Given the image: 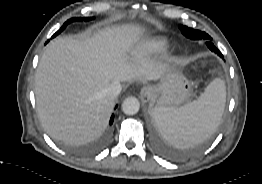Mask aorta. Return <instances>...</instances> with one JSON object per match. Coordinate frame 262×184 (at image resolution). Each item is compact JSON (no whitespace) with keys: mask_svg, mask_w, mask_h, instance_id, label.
<instances>
[{"mask_svg":"<svg viewBox=\"0 0 262 184\" xmlns=\"http://www.w3.org/2000/svg\"><path fill=\"white\" fill-rule=\"evenodd\" d=\"M140 109L139 100L136 97H128L122 103V110L127 115H134Z\"/></svg>","mask_w":262,"mask_h":184,"instance_id":"obj_1","label":"aorta"}]
</instances>
